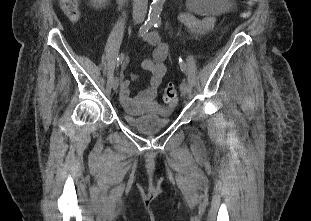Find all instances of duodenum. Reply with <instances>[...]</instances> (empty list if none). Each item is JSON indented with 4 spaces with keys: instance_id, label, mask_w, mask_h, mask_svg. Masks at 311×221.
<instances>
[{
    "instance_id": "410a0bca",
    "label": "duodenum",
    "mask_w": 311,
    "mask_h": 221,
    "mask_svg": "<svg viewBox=\"0 0 311 221\" xmlns=\"http://www.w3.org/2000/svg\"><path fill=\"white\" fill-rule=\"evenodd\" d=\"M119 3H126L128 0H117Z\"/></svg>"
}]
</instances>
